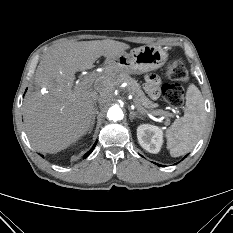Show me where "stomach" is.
I'll return each instance as SVG.
<instances>
[{
  "instance_id": "obj_1",
  "label": "stomach",
  "mask_w": 233,
  "mask_h": 233,
  "mask_svg": "<svg viewBox=\"0 0 233 233\" xmlns=\"http://www.w3.org/2000/svg\"><path fill=\"white\" fill-rule=\"evenodd\" d=\"M168 56L167 51L160 47L145 45L134 48L130 53L123 52L107 63L129 74H142L162 67Z\"/></svg>"
}]
</instances>
